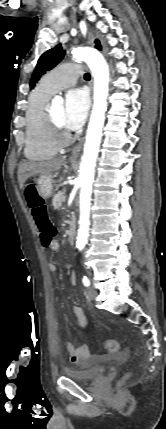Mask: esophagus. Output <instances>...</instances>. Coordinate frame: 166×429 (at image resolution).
<instances>
[{
	"label": "esophagus",
	"instance_id": "34e87169",
	"mask_svg": "<svg viewBox=\"0 0 166 429\" xmlns=\"http://www.w3.org/2000/svg\"><path fill=\"white\" fill-rule=\"evenodd\" d=\"M82 145H83V139L74 147L70 158L75 159L78 157L82 149Z\"/></svg>",
	"mask_w": 166,
	"mask_h": 429
}]
</instances>
